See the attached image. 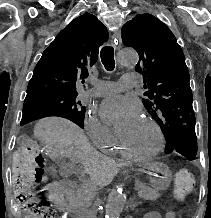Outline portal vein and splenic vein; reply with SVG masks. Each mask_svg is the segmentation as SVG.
Masks as SVG:
<instances>
[{
    "instance_id": "1",
    "label": "portal vein and splenic vein",
    "mask_w": 211,
    "mask_h": 218,
    "mask_svg": "<svg viewBox=\"0 0 211 218\" xmlns=\"http://www.w3.org/2000/svg\"><path fill=\"white\" fill-rule=\"evenodd\" d=\"M132 188H133V189H134V188L136 189L137 187H136V186H135V187L133 186Z\"/></svg>"
}]
</instances>
